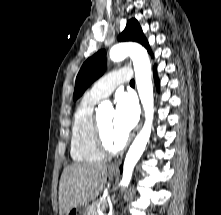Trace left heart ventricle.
I'll return each mask as SVG.
<instances>
[{
	"instance_id": "obj_1",
	"label": "left heart ventricle",
	"mask_w": 221,
	"mask_h": 215,
	"mask_svg": "<svg viewBox=\"0 0 221 215\" xmlns=\"http://www.w3.org/2000/svg\"><path fill=\"white\" fill-rule=\"evenodd\" d=\"M113 117V112H107L101 114L99 120L107 142L111 146H117L124 138L115 132L113 127Z\"/></svg>"
}]
</instances>
